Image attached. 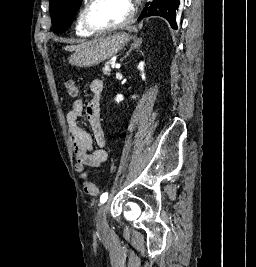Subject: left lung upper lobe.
I'll use <instances>...</instances> for the list:
<instances>
[{"mask_svg": "<svg viewBox=\"0 0 256 267\" xmlns=\"http://www.w3.org/2000/svg\"><path fill=\"white\" fill-rule=\"evenodd\" d=\"M49 2L53 28L57 33H63L70 27L82 0H49ZM153 15L161 16L171 24L173 0H154L149 7L146 5L138 20Z\"/></svg>", "mask_w": 256, "mask_h": 267, "instance_id": "left-lung-upper-lobe-1", "label": "left lung upper lobe"}]
</instances>
